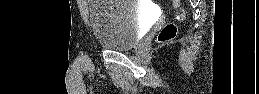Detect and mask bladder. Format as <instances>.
<instances>
[{"mask_svg": "<svg viewBox=\"0 0 259 94\" xmlns=\"http://www.w3.org/2000/svg\"><path fill=\"white\" fill-rule=\"evenodd\" d=\"M88 19L98 45L111 51H126L136 47L146 23L135 0L89 1Z\"/></svg>", "mask_w": 259, "mask_h": 94, "instance_id": "bladder-1", "label": "bladder"}]
</instances>
